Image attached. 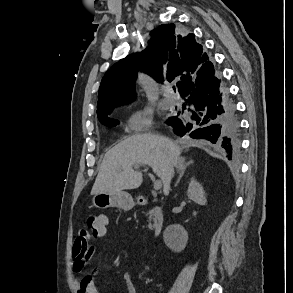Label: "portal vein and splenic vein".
<instances>
[{
  "label": "portal vein and splenic vein",
  "instance_id": "obj_1",
  "mask_svg": "<svg viewBox=\"0 0 293 293\" xmlns=\"http://www.w3.org/2000/svg\"><path fill=\"white\" fill-rule=\"evenodd\" d=\"M139 167H135V169H138ZM146 171V169H145ZM162 187V182L160 180H155L154 181V189L159 190Z\"/></svg>",
  "mask_w": 293,
  "mask_h": 293
}]
</instances>
